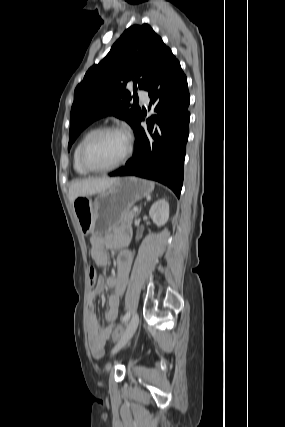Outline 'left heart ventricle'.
Instances as JSON below:
<instances>
[{
  "mask_svg": "<svg viewBox=\"0 0 285 427\" xmlns=\"http://www.w3.org/2000/svg\"><path fill=\"white\" fill-rule=\"evenodd\" d=\"M128 140L122 132L106 133L88 150V160L96 167L109 166L118 161L127 149Z\"/></svg>",
  "mask_w": 285,
  "mask_h": 427,
  "instance_id": "left-heart-ventricle-1",
  "label": "left heart ventricle"
}]
</instances>
